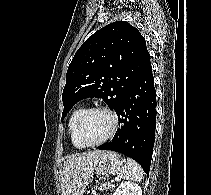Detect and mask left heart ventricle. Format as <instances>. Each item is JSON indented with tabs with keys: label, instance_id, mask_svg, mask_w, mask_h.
<instances>
[{
	"label": "left heart ventricle",
	"instance_id": "obj_1",
	"mask_svg": "<svg viewBox=\"0 0 211 195\" xmlns=\"http://www.w3.org/2000/svg\"><path fill=\"white\" fill-rule=\"evenodd\" d=\"M112 126L111 117L102 111L89 113L81 126V135L85 142L94 143L103 139Z\"/></svg>",
	"mask_w": 211,
	"mask_h": 195
}]
</instances>
